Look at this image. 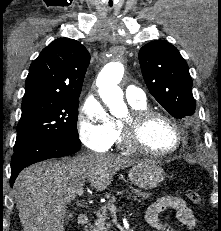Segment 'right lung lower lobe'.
Returning a JSON list of instances; mask_svg holds the SVG:
<instances>
[{"mask_svg": "<svg viewBox=\"0 0 221 231\" xmlns=\"http://www.w3.org/2000/svg\"><path fill=\"white\" fill-rule=\"evenodd\" d=\"M81 148L80 140L44 138L32 141L15 150L11 161L10 186L25 167L49 158L64 157L76 153Z\"/></svg>", "mask_w": 221, "mask_h": 231, "instance_id": "obj_1", "label": "right lung lower lobe"}]
</instances>
